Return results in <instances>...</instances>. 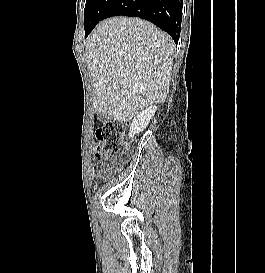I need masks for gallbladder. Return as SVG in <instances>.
Here are the masks:
<instances>
[{
    "label": "gallbladder",
    "instance_id": "obj_1",
    "mask_svg": "<svg viewBox=\"0 0 265 273\" xmlns=\"http://www.w3.org/2000/svg\"><path fill=\"white\" fill-rule=\"evenodd\" d=\"M106 117H107L106 114H103V113H99V114H98V119H100V120H102V121L105 120Z\"/></svg>",
    "mask_w": 265,
    "mask_h": 273
}]
</instances>
